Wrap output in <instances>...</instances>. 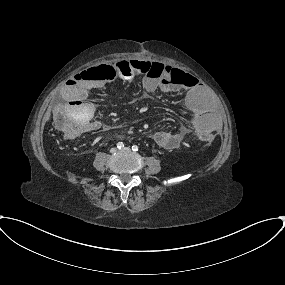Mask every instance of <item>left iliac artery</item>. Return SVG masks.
I'll return each mask as SVG.
<instances>
[{"mask_svg":"<svg viewBox=\"0 0 285 285\" xmlns=\"http://www.w3.org/2000/svg\"><path fill=\"white\" fill-rule=\"evenodd\" d=\"M132 150H133V151H138V146H137V145H133V146H132Z\"/></svg>","mask_w":285,"mask_h":285,"instance_id":"obj_1","label":"left iliac artery"}]
</instances>
